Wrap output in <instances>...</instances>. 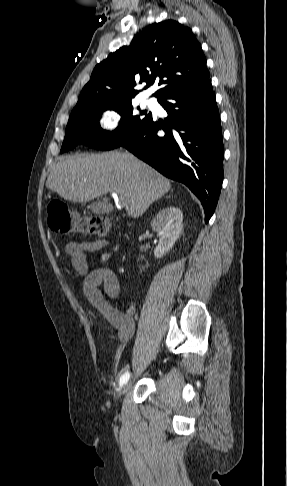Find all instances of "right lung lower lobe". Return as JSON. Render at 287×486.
Listing matches in <instances>:
<instances>
[{
  "label": "right lung lower lobe",
  "mask_w": 287,
  "mask_h": 486,
  "mask_svg": "<svg viewBox=\"0 0 287 486\" xmlns=\"http://www.w3.org/2000/svg\"><path fill=\"white\" fill-rule=\"evenodd\" d=\"M158 101L168 113L165 123L151 116L118 147L188 186L200 199L208 222L222 186L224 153L211 80L169 93ZM160 129L165 131L163 136L157 134Z\"/></svg>",
  "instance_id": "1"
}]
</instances>
